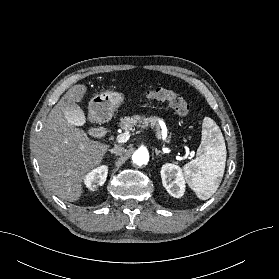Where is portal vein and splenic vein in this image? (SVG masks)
<instances>
[{
    "instance_id": "1",
    "label": "portal vein and splenic vein",
    "mask_w": 279,
    "mask_h": 279,
    "mask_svg": "<svg viewBox=\"0 0 279 279\" xmlns=\"http://www.w3.org/2000/svg\"><path fill=\"white\" fill-rule=\"evenodd\" d=\"M130 134L129 132L121 133L117 136L116 140L118 143H125L129 140Z\"/></svg>"
}]
</instances>
